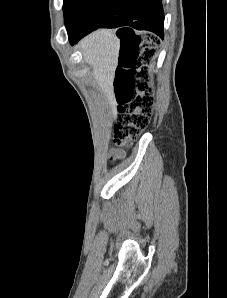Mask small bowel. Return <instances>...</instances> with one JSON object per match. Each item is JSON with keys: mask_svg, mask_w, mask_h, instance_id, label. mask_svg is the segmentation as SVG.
<instances>
[{"mask_svg": "<svg viewBox=\"0 0 227 298\" xmlns=\"http://www.w3.org/2000/svg\"><path fill=\"white\" fill-rule=\"evenodd\" d=\"M125 152L119 148H113L109 151L108 157L111 161H117L124 158Z\"/></svg>", "mask_w": 227, "mask_h": 298, "instance_id": "1", "label": "small bowel"}]
</instances>
